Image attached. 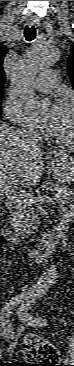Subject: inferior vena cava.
I'll use <instances>...</instances> for the list:
<instances>
[{"mask_svg":"<svg viewBox=\"0 0 74 366\" xmlns=\"http://www.w3.org/2000/svg\"><path fill=\"white\" fill-rule=\"evenodd\" d=\"M21 137L24 139V143L31 145L32 147L39 146V139L38 136L32 131H21ZM24 221H21V226L24 225Z\"/></svg>","mask_w":74,"mask_h":366,"instance_id":"602c4592","label":"inferior vena cava"}]
</instances>
